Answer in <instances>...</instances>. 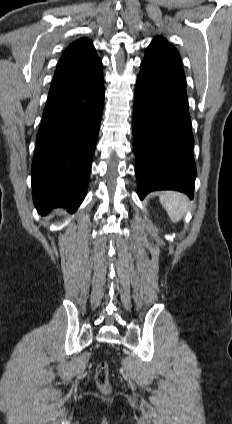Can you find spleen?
I'll return each instance as SVG.
<instances>
[{"instance_id":"obj_1","label":"spleen","mask_w":232,"mask_h":424,"mask_svg":"<svg viewBox=\"0 0 232 424\" xmlns=\"http://www.w3.org/2000/svg\"><path fill=\"white\" fill-rule=\"evenodd\" d=\"M159 200L173 223L181 220L188 207L187 197L176 191L162 192Z\"/></svg>"}]
</instances>
